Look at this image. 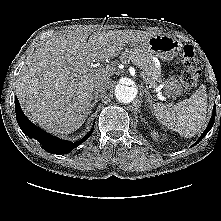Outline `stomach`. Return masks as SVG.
Instances as JSON below:
<instances>
[{
  "mask_svg": "<svg viewBox=\"0 0 221 221\" xmlns=\"http://www.w3.org/2000/svg\"><path fill=\"white\" fill-rule=\"evenodd\" d=\"M131 52L144 51L150 56L161 60H172L177 57L182 50L183 44L175 37L168 35L156 34L151 36L146 41L132 44L129 46ZM182 92V85L174 76L168 78L165 82L164 93L170 98H176Z\"/></svg>",
  "mask_w": 221,
  "mask_h": 221,
  "instance_id": "0dacf381",
  "label": "stomach"
}]
</instances>
